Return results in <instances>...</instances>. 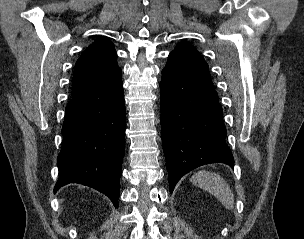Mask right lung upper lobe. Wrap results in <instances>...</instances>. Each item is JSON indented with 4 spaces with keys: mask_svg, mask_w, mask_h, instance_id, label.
I'll return each instance as SVG.
<instances>
[{
    "mask_svg": "<svg viewBox=\"0 0 304 239\" xmlns=\"http://www.w3.org/2000/svg\"><path fill=\"white\" fill-rule=\"evenodd\" d=\"M113 43L101 38L92 43L77 60L72 84V98L104 83L121 71Z\"/></svg>",
    "mask_w": 304,
    "mask_h": 239,
    "instance_id": "obj_1",
    "label": "right lung upper lobe"
}]
</instances>
